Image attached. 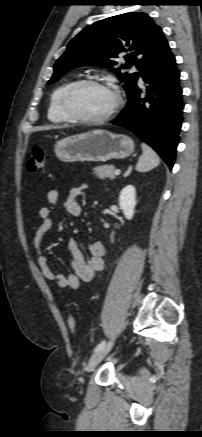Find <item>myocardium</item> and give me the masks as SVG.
<instances>
[{"label": "myocardium", "mask_w": 202, "mask_h": 437, "mask_svg": "<svg viewBox=\"0 0 202 437\" xmlns=\"http://www.w3.org/2000/svg\"><path fill=\"white\" fill-rule=\"evenodd\" d=\"M84 86H96L111 91L115 97L112 108L100 117H85L73 111L70 105L73 94ZM122 96L118 88L114 85L93 78L80 79L73 82L62 94L60 99V108L64 116L70 121L82 124H102L111 120L122 106Z\"/></svg>", "instance_id": "f54148a6"}]
</instances>
